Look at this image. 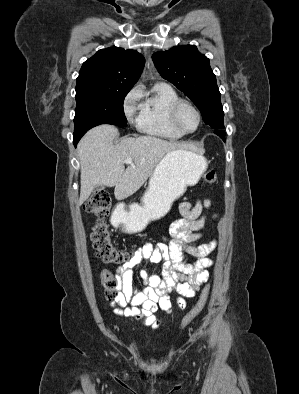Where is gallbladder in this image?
Masks as SVG:
<instances>
[{"label": "gallbladder", "mask_w": 299, "mask_h": 394, "mask_svg": "<svg viewBox=\"0 0 299 394\" xmlns=\"http://www.w3.org/2000/svg\"><path fill=\"white\" fill-rule=\"evenodd\" d=\"M103 188H104L103 186L99 185L96 187V191L102 190Z\"/></svg>", "instance_id": "bac80fb5"}]
</instances>
